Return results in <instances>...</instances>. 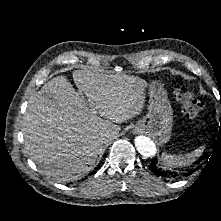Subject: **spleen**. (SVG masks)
Listing matches in <instances>:
<instances>
[{
    "mask_svg": "<svg viewBox=\"0 0 221 221\" xmlns=\"http://www.w3.org/2000/svg\"><path fill=\"white\" fill-rule=\"evenodd\" d=\"M204 148L200 147L188 154H167L162 153V162L166 168L188 166L193 163L196 158L200 157Z\"/></svg>",
    "mask_w": 221,
    "mask_h": 221,
    "instance_id": "1",
    "label": "spleen"
}]
</instances>
